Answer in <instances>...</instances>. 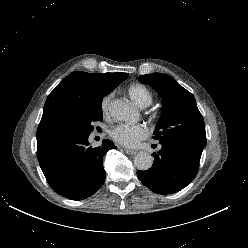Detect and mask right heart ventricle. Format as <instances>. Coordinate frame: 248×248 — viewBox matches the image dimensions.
Masks as SVG:
<instances>
[{
    "label": "right heart ventricle",
    "instance_id": "obj_1",
    "mask_svg": "<svg viewBox=\"0 0 248 248\" xmlns=\"http://www.w3.org/2000/svg\"><path fill=\"white\" fill-rule=\"evenodd\" d=\"M127 92L130 98L140 107H147L153 101L151 91L141 83L131 84Z\"/></svg>",
    "mask_w": 248,
    "mask_h": 248
}]
</instances>
